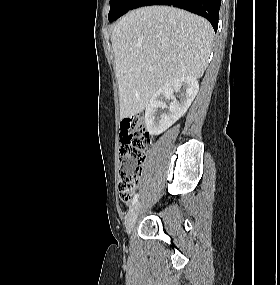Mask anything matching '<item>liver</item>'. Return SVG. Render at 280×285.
<instances>
[{
	"mask_svg": "<svg viewBox=\"0 0 280 285\" xmlns=\"http://www.w3.org/2000/svg\"><path fill=\"white\" fill-rule=\"evenodd\" d=\"M213 37L207 20L173 7H144L124 15L111 35L120 118L142 112L167 83L202 77Z\"/></svg>",
	"mask_w": 280,
	"mask_h": 285,
	"instance_id": "liver-1",
	"label": "liver"
}]
</instances>
